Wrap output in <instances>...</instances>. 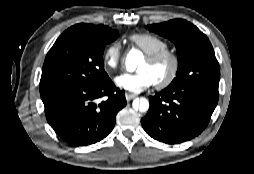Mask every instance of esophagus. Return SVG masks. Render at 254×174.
I'll use <instances>...</instances> for the list:
<instances>
[{
	"mask_svg": "<svg viewBox=\"0 0 254 174\" xmlns=\"http://www.w3.org/2000/svg\"><path fill=\"white\" fill-rule=\"evenodd\" d=\"M125 97H126V100H127V101H131V100H133L134 98H136V95H135V94H132V93H126Z\"/></svg>",
	"mask_w": 254,
	"mask_h": 174,
	"instance_id": "34e87169",
	"label": "esophagus"
}]
</instances>
